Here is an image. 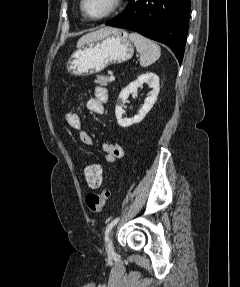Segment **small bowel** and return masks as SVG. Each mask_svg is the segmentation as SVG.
I'll return each instance as SVG.
<instances>
[{
	"instance_id": "c3829d8e",
	"label": "small bowel",
	"mask_w": 240,
	"mask_h": 287,
	"mask_svg": "<svg viewBox=\"0 0 240 287\" xmlns=\"http://www.w3.org/2000/svg\"><path fill=\"white\" fill-rule=\"evenodd\" d=\"M108 101V93L105 88L96 87L94 91V97L90 98L86 102L87 109L94 114H103L105 112V105ZM65 120L67 124L79 131L80 141L86 145H93V139L91 135L83 130L81 117L74 112H67L65 114ZM103 159L107 163H114L116 160L124 156V149L118 143L105 142L102 145Z\"/></svg>"
}]
</instances>
